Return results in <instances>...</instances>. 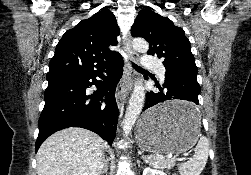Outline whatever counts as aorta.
Masks as SVG:
<instances>
[{
	"label": "aorta",
	"instance_id": "762f6f07",
	"mask_svg": "<svg viewBox=\"0 0 251 175\" xmlns=\"http://www.w3.org/2000/svg\"><path fill=\"white\" fill-rule=\"evenodd\" d=\"M132 44L133 48H135L137 52H142V54H146L149 48L148 42H145V40H139V38H135ZM144 99L145 89L142 86V82H138V84H135V88L132 91L128 107H126L125 117L123 119V133H125V135H128V133H130L144 105Z\"/></svg>",
	"mask_w": 251,
	"mask_h": 175
}]
</instances>
